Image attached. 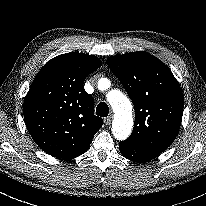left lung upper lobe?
<instances>
[{
    "label": "left lung upper lobe",
    "mask_w": 206,
    "mask_h": 206,
    "mask_svg": "<svg viewBox=\"0 0 206 206\" xmlns=\"http://www.w3.org/2000/svg\"><path fill=\"white\" fill-rule=\"evenodd\" d=\"M107 64L135 109L133 132L124 142L162 153L176 138L182 121L184 98L178 81L147 52L112 56Z\"/></svg>",
    "instance_id": "5c2ea615"
}]
</instances>
